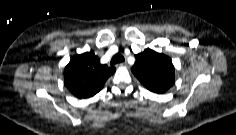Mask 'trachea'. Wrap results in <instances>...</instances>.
Listing matches in <instances>:
<instances>
[{"mask_svg":"<svg viewBox=\"0 0 236 135\" xmlns=\"http://www.w3.org/2000/svg\"><path fill=\"white\" fill-rule=\"evenodd\" d=\"M124 57L120 54V53H117L116 55H114L110 61V64L111 65H114V64H117V63H121V62H124Z\"/></svg>","mask_w":236,"mask_h":135,"instance_id":"obj_1","label":"trachea"}]
</instances>
